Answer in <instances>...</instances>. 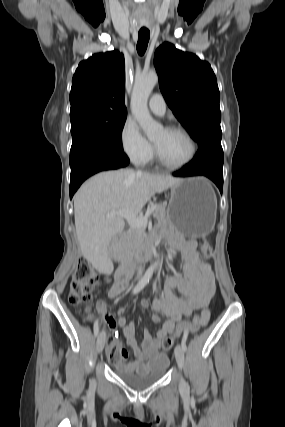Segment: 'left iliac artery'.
<instances>
[{"label": "left iliac artery", "instance_id": "obj_1", "mask_svg": "<svg viewBox=\"0 0 285 427\" xmlns=\"http://www.w3.org/2000/svg\"><path fill=\"white\" fill-rule=\"evenodd\" d=\"M154 289L156 290V282H154L153 284ZM186 339H187V334H184L183 338H182V342H181V347L184 351L187 350V346H186Z\"/></svg>", "mask_w": 285, "mask_h": 427}]
</instances>
